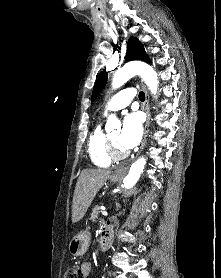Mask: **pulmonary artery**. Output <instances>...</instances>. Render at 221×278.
Instances as JSON below:
<instances>
[{"mask_svg": "<svg viewBox=\"0 0 221 278\" xmlns=\"http://www.w3.org/2000/svg\"><path fill=\"white\" fill-rule=\"evenodd\" d=\"M135 97V91L131 88L119 91L109 102L106 104L104 114L117 111L128 106L132 99Z\"/></svg>", "mask_w": 221, "mask_h": 278, "instance_id": "pulmonary-artery-1", "label": "pulmonary artery"}]
</instances>
